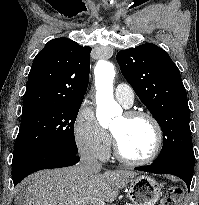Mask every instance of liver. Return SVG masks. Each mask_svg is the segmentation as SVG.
<instances>
[{
    "mask_svg": "<svg viewBox=\"0 0 199 205\" xmlns=\"http://www.w3.org/2000/svg\"><path fill=\"white\" fill-rule=\"evenodd\" d=\"M136 175L131 170L84 174L79 165L39 171L27 179L25 205H87L94 199L113 202L118 190Z\"/></svg>",
    "mask_w": 199,
    "mask_h": 205,
    "instance_id": "liver-1",
    "label": "liver"
}]
</instances>
